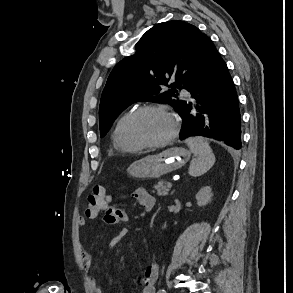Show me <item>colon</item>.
Listing matches in <instances>:
<instances>
[{
    "mask_svg": "<svg viewBox=\"0 0 293 293\" xmlns=\"http://www.w3.org/2000/svg\"><path fill=\"white\" fill-rule=\"evenodd\" d=\"M109 196L106 187L103 185L95 186L93 192L88 196L86 203V214L89 217H96L106 211L109 206Z\"/></svg>",
    "mask_w": 293,
    "mask_h": 293,
    "instance_id": "obj_1",
    "label": "colon"
}]
</instances>
